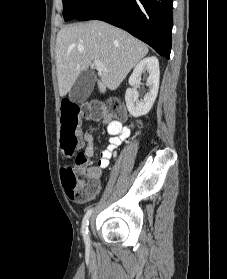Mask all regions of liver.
I'll list each match as a JSON object with an SVG mask.
<instances>
[{
	"label": "liver",
	"instance_id": "obj_1",
	"mask_svg": "<svg viewBox=\"0 0 227 279\" xmlns=\"http://www.w3.org/2000/svg\"><path fill=\"white\" fill-rule=\"evenodd\" d=\"M148 53V47L126 31L102 21L63 27L56 39L59 94L65 96L83 71L100 60L107 71L98 70V88L117 89L131 69Z\"/></svg>",
	"mask_w": 227,
	"mask_h": 279
}]
</instances>
